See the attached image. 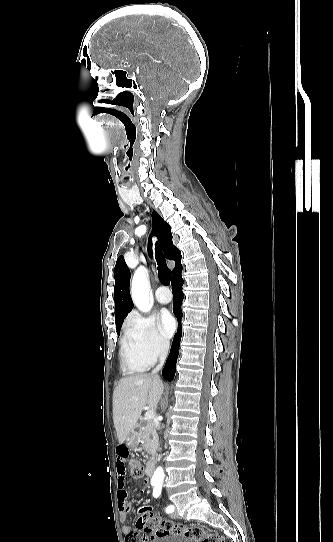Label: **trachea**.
<instances>
[{"label":"trachea","mask_w":333,"mask_h":542,"mask_svg":"<svg viewBox=\"0 0 333 542\" xmlns=\"http://www.w3.org/2000/svg\"><path fill=\"white\" fill-rule=\"evenodd\" d=\"M156 260L158 262V277L164 285H169L171 280V270L167 267L165 258L160 250L159 245L156 246Z\"/></svg>","instance_id":"trachea-1"}]
</instances>
